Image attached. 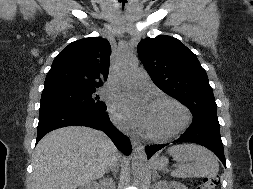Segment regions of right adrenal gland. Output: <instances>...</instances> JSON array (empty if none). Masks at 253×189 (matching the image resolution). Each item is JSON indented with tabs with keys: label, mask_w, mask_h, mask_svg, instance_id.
<instances>
[{
	"label": "right adrenal gland",
	"mask_w": 253,
	"mask_h": 189,
	"mask_svg": "<svg viewBox=\"0 0 253 189\" xmlns=\"http://www.w3.org/2000/svg\"><path fill=\"white\" fill-rule=\"evenodd\" d=\"M111 171L113 172L114 178H116V177H117V169L114 168V169H112ZM109 172H110V171L108 170L107 173H109Z\"/></svg>",
	"instance_id": "1"
}]
</instances>
